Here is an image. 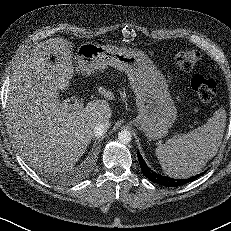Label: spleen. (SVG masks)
<instances>
[{"mask_svg": "<svg viewBox=\"0 0 231 231\" xmlns=\"http://www.w3.org/2000/svg\"><path fill=\"white\" fill-rule=\"evenodd\" d=\"M226 117L221 107L201 127L159 145L155 153L164 173L176 179L199 174L222 143Z\"/></svg>", "mask_w": 231, "mask_h": 231, "instance_id": "spleen-1", "label": "spleen"}]
</instances>
